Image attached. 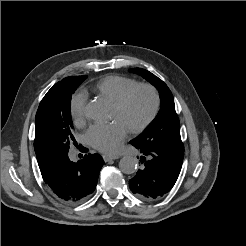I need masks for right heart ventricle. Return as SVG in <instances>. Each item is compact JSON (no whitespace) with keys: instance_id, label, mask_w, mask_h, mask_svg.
Segmentation results:
<instances>
[{"instance_id":"right-heart-ventricle-1","label":"right heart ventricle","mask_w":246,"mask_h":246,"mask_svg":"<svg viewBox=\"0 0 246 246\" xmlns=\"http://www.w3.org/2000/svg\"><path fill=\"white\" fill-rule=\"evenodd\" d=\"M137 84L138 81L126 76L108 75L96 83L95 89L100 95L114 102L128 89Z\"/></svg>"}]
</instances>
